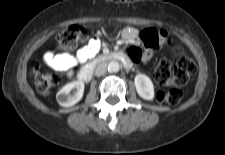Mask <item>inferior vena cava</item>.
<instances>
[{"instance_id":"inferior-vena-cava-1","label":"inferior vena cava","mask_w":225,"mask_h":155,"mask_svg":"<svg viewBox=\"0 0 225 155\" xmlns=\"http://www.w3.org/2000/svg\"><path fill=\"white\" fill-rule=\"evenodd\" d=\"M106 70H107L106 64H104V63L99 64L95 69V75L101 76L106 73Z\"/></svg>"}]
</instances>
